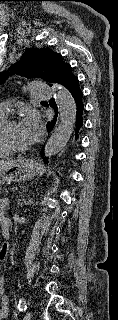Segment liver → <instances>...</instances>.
Listing matches in <instances>:
<instances>
[{
	"mask_svg": "<svg viewBox=\"0 0 118 320\" xmlns=\"http://www.w3.org/2000/svg\"><path fill=\"white\" fill-rule=\"evenodd\" d=\"M14 160H0V166L6 165L8 163H12Z\"/></svg>",
	"mask_w": 118,
	"mask_h": 320,
	"instance_id": "liver-1",
	"label": "liver"
}]
</instances>
